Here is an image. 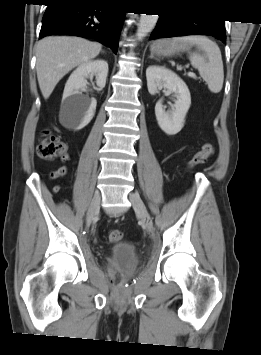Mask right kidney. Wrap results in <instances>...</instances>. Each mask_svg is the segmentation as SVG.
Masks as SVG:
<instances>
[{
    "instance_id": "ca27d5eb",
    "label": "right kidney",
    "mask_w": 261,
    "mask_h": 355,
    "mask_svg": "<svg viewBox=\"0 0 261 355\" xmlns=\"http://www.w3.org/2000/svg\"><path fill=\"white\" fill-rule=\"evenodd\" d=\"M108 75V63L97 59L85 62L70 75L63 92L60 117L62 123L74 130H81L92 120L97 101L82 95L88 77H96V84L104 88Z\"/></svg>"
}]
</instances>
